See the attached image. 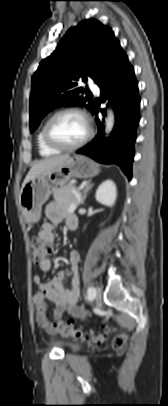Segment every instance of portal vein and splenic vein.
<instances>
[{"label": "portal vein and splenic vein", "mask_w": 168, "mask_h": 406, "mask_svg": "<svg viewBox=\"0 0 168 406\" xmlns=\"http://www.w3.org/2000/svg\"><path fill=\"white\" fill-rule=\"evenodd\" d=\"M78 201H79V199H78ZM76 208H77V204H72L69 207L68 212L73 213L76 210Z\"/></svg>", "instance_id": "1"}]
</instances>
